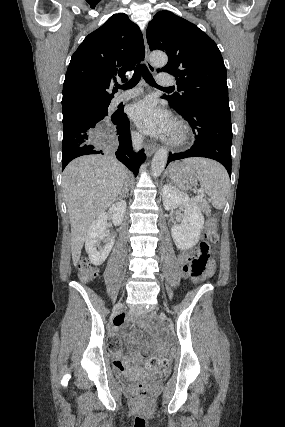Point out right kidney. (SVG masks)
Returning a JSON list of instances; mask_svg holds the SVG:
<instances>
[{"mask_svg":"<svg viewBox=\"0 0 285 427\" xmlns=\"http://www.w3.org/2000/svg\"><path fill=\"white\" fill-rule=\"evenodd\" d=\"M126 212V202L121 200L109 208V212L100 214L89 227L85 239V249L94 265H101L108 257L114 245V238L107 235V219L111 217L115 226L122 223ZM102 242V244H101Z\"/></svg>","mask_w":285,"mask_h":427,"instance_id":"ca27d5eb","label":"right kidney"}]
</instances>
